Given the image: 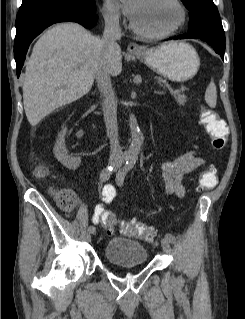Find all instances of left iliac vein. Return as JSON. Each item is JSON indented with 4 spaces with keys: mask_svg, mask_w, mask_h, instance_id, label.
Listing matches in <instances>:
<instances>
[{
    "mask_svg": "<svg viewBox=\"0 0 245 319\" xmlns=\"http://www.w3.org/2000/svg\"><path fill=\"white\" fill-rule=\"evenodd\" d=\"M116 181H117L118 185H121L120 181L118 180V177H116ZM161 245H162L163 250L167 254H171L172 253V248H171L170 242L166 238L162 239Z\"/></svg>",
    "mask_w": 245,
    "mask_h": 319,
    "instance_id": "1",
    "label": "left iliac vein"
}]
</instances>
